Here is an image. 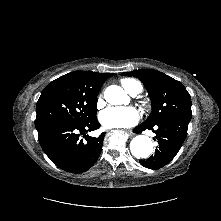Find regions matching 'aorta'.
Wrapping results in <instances>:
<instances>
[{
    "label": "aorta",
    "mask_w": 221,
    "mask_h": 221,
    "mask_svg": "<svg viewBox=\"0 0 221 221\" xmlns=\"http://www.w3.org/2000/svg\"><path fill=\"white\" fill-rule=\"evenodd\" d=\"M106 101L112 105L123 104L126 98L124 90L117 85H111L104 92ZM130 150L137 158H148L153 152V142L145 135H138L131 140Z\"/></svg>",
    "instance_id": "aorta-1"
}]
</instances>
